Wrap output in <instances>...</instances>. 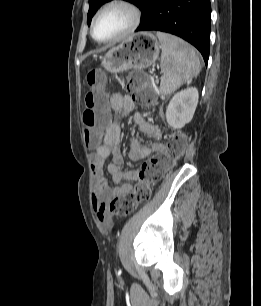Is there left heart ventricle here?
<instances>
[{"label": "left heart ventricle", "instance_id": "obj_1", "mask_svg": "<svg viewBox=\"0 0 261 306\" xmlns=\"http://www.w3.org/2000/svg\"><path fill=\"white\" fill-rule=\"evenodd\" d=\"M131 22L130 12L123 7H112L106 10L98 19L95 36L105 40L122 33Z\"/></svg>", "mask_w": 261, "mask_h": 306}]
</instances>
